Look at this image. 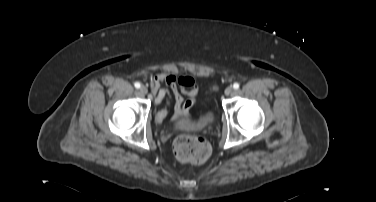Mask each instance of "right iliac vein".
<instances>
[{
    "instance_id": "63e3f726",
    "label": "right iliac vein",
    "mask_w": 376,
    "mask_h": 202,
    "mask_svg": "<svg viewBox=\"0 0 376 202\" xmlns=\"http://www.w3.org/2000/svg\"><path fill=\"white\" fill-rule=\"evenodd\" d=\"M139 92L142 94V95H146L148 90L145 86H141L140 89H139Z\"/></svg>"
}]
</instances>
